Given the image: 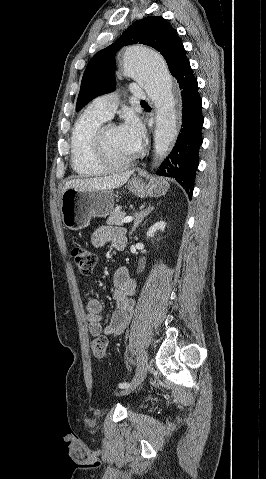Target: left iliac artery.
<instances>
[{"label": "left iliac artery", "mask_w": 266, "mask_h": 479, "mask_svg": "<svg viewBox=\"0 0 266 479\" xmlns=\"http://www.w3.org/2000/svg\"><path fill=\"white\" fill-rule=\"evenodd\" d=\"M132 367L134 368L135 366L133 365ZM118 386H119V388H122V389H124V388H127V387H129V386H130V384H129V383H127V382H123V383H119V385H118Z\"/></svg>", "instance_id": "left-iliac-artery-1"}]
</instances>
